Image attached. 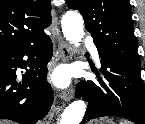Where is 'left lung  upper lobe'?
I'll list each match as a JSON object with an SVG mask.
<instances>
[{
    "label": "left lung upper lobe",
    "instance_id": "1",
    "mask_svg": "<svg viewBox=\"0 0 145 124\" xmlns=\"http://www.w3.org/2000/svg\"><path fill=\"white\" fill-rule=\"evenodd\" d=\"M78 10L100 55L140 66L128 0H67Z\"/></svg>",
    "mask_w": 145,
    "mask_h": 124
}]
</instances>
